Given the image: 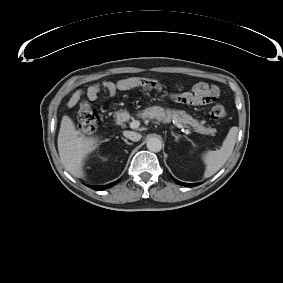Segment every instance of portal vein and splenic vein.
I'll list each match as a JSON object with an SVG mask.
<instances>
[{
  "mask_svg": "<svg viewBox=\"0 0 283 283\" xmlns=\"http://www.w3.org/2000/svg\"><path fill=\"white\" fill-rule=\"evenodd\" d=\"M178 128H182L183 126L179 123L176 124ZM139 126V122L138 121H134L131 123V127L133 128H137Z\"/></svg>",
  "mask_w": 283,
  "mask_h": 283,
  "instance_id": "portal-vein-and-splenic-vein-1",
  "label": "portal vein and splenic vein"
}]
</instances>
